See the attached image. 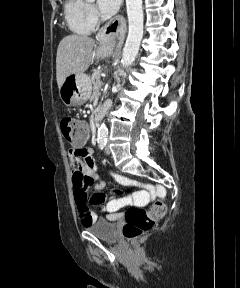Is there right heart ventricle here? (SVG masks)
Listing matches in <instances>:
<instances>
[{"label": "right heart ventricle", "instance_id": "right-heart-ventricle-1", "mask_svg": "<svg viewBox=\"0 0 240 288\" xmlns=\"http://www.w3.org/2000/svg\"><path fill=\"white\" fill-rule=\"evenodd\" d=\"M64 14L69 29L79 35H88L94 29L87 0H66Z\"/></svg>", "mask_w": 240, "mask_h": 288}]
</instances>
